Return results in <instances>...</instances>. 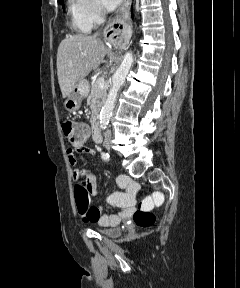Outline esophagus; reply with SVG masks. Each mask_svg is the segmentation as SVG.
<instances>
[{
	"label": "esophagus",
	"mask_w": 240,
	"mask_h": 288,
	"mask_svg": "<svg viewBox=\"0 0 240 288\" xmlns=\"http://www.w3.org/2000/svg\"><path fill=\"white\" fill-rule=\"evenodd\" d=\"M130 4L131 0H123L117 14L104 29L105 39L114 46H121L126 42Z\"/></svg>",
	"instance_id": "34e87169"
}]
</instances>
